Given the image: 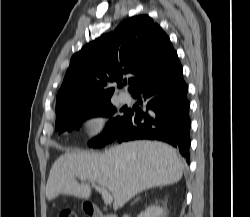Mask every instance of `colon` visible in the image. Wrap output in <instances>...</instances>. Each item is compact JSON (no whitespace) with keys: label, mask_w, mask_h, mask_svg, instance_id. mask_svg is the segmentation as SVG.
<instances>
[{"label":"colon","mask_w":250,"mask_h":217,"mask_svg":"<svg viewBox=\"0 0 250 217\" xmlns=\"http://www.w3.org/2000/svg\"><path fill=\"white\" fill-rule=\"evenodd\" d=\"M57 217H77V215L71 210H61Z\"/></svg>","instance_id":"1"}]
</instances>
